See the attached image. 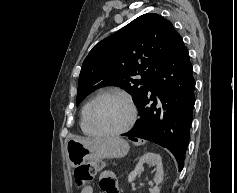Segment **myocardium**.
Segmentation results:
<instances>
[{
	"mask_svg": "<svg viewBox=\"0 0 237 193\" xmlns=\"http://www.w3.org/2000/svg\"><path fill=\"white\" fill-rule=\"evenodd\" d=\"M104 97H115L119 100H121L122 102L125 103V105L128 107L129 112H130V116H129V120L127 122V124L118 130L115 131H104L99 129L94 121H93V117H92V113H93V109L94 106L96 105V103L104 98ZM137 108L135 106V104L133 103V101L126 95L120 93V92H116V91H105L102 92L100 94H98L90 103L87 109V121L90 125V127L100 136H105V137H114V136H119L122 134L127 133L135 124L136 119H137Z\"/></svg>",
	"mask_w": 237,
	"mask_h": 193,
	"instance_id": "myocardium-1",
	"label": "myocardium"
}]
</instances>
